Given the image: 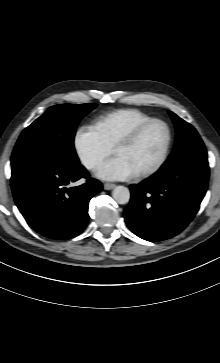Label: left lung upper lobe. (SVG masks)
<instances>
[{"instance_id": "obj_1", "label": "left lung upper lobe", "mask_w": 220, "mask_h": 363, "mask_svg": "<svg viewBox=\"0 0 220 363\" xmlns=\"http://www.w3.org/2000/svg\"><path fill=\"white\" fill-rule=\"evenodd\" d=\"M176 128L174 149L165 163L173 162L192 153L206 154L205 146L195 128L173 112H169Z\"/></svg>"}]
</instances>
